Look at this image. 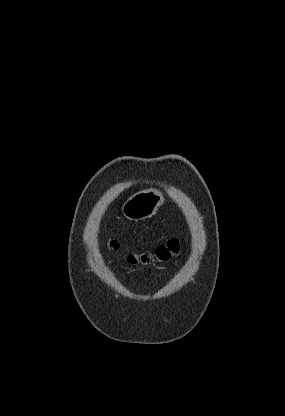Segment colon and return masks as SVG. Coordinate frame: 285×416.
Here are the masks:
<instances>
[{
	"label": "colon",
	"instance_id": "obj_1",
	"mask_svg": "<svg viewBox=\"0 0 285 416\" xmlns=\"http://www.w3.org/2000/svg\"><path fill=\"white\" fill-rule=\"evenodd\" d=\"M110 246L116 250L119 248L117 241H111ZM180 250V243L177 239H171L166 244L159 245L156 249L149 254H130L127 259L129 263L136 264L142 263L147 264L151 261L167 262L171 258L175 257Z\"/></svg>",
	"mask_w": 285,
	"mask_h": 416
}]
</instances>
